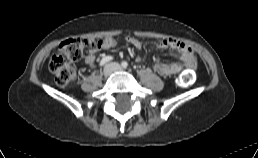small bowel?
<instances>
[{"instance_id":"c3829d8e","label":"small bowel","mask_w":258,"mask_h":158,"mask_svg":"<svg viewBox=\"0 0 258 158\" xmlns=\"http://www.w3.org/2000/svg\"><path fill=\"white\" fill-rule=\"evenodd\" d=\"M126 41L137 51H140L142 49V43L138 39L134 37H128ZM116 44L117 42L114 38L107 37L105 38L104 49L106 50L112 49L116 46ZM156 47L158 49H165L169 47L175 50L180 54L181 61H182V64H176V63L170 64V63H163V62H158L154 64L153 70L159 75L170 76V75L180 73L181 71H183V69L192 70L194 68L195 62H196L195 54L191 49V47L185 44L184 42L174 38H170V39L158 41L156 43ZM85 60H86V63L91 67H94L96 65V57L93 54L87 55ZM136 60L141 61L142 57L140 55H137Z\"/></svg>"}]
</instances>
